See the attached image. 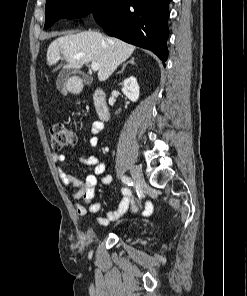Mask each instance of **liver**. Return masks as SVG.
<instances>
[{"label": "liver", "mask_w": 247, "mask_h": 296, "mask_svg": "<svg viewBox=\"0 0 247 296\" xmlns=\"http://www.w3.org/2000/svg\"><path fill=\"white\" fill-rule=\"evenodd\" d=\"M134 50V45L120 39L97 31H84L67 34L51 42L47 49V64L52 66L61 58L68 62L67 68H81L84 64L96 62L100 65L98 79L105 81Z\"/></svg>", "instance_id": "1"}]
</instances>
